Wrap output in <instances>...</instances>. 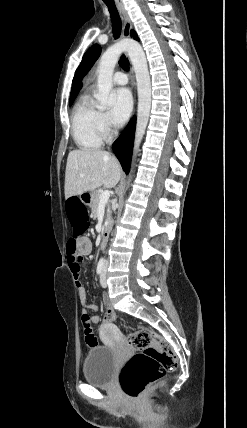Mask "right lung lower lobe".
<instances>
[{
  "label": "right lung lower lobe",
  "instance_id": "1",
  "mask_svg": "<svg viewBox=\"0 0 247 428\" xmlns=\"http://www.w3.org/2000/svg\"><path fill=\"white\" fill-rule=\"evenodd\" d=\"M135 124V118H132L113 145V151L126 174H128L131 164Z\"/></svg>",
  "mask_w": 247,
  "mask_h": 428
}]
</instances>
